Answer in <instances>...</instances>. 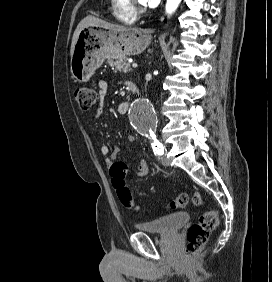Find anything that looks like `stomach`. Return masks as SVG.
Masks as SVG:
<instances>
[{
	"label": "stomach",
	"mask_w": 272,
	"mask_h": 282,
	"mask_svg": "<svg viewBox=\"0 0 272 282\" xmlns=\"http://www.w3.org/2000/svg\"><path fill=\"white\" fill-rule=\"evenodd\" d=\"M152 40L146 29L130 28L114 31L99 26L84 27L71 57V73L75 81L86 82L105 59H121L143 52Z\"/></svg>",
	"instance_id": "stomach-1"
}]
</instances>
